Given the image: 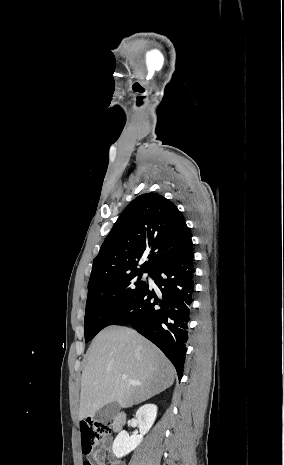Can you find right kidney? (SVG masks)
<instances>
[{"label": "right kidney", "instance_id": "1", "mask_svg": "<svg viewBox=\"0 0 284 465\" xmlns=\"http://www.w3.org/2000/svg\"><path fill=\"white\" fill-rule=\"evenodd\" d=\"M157 415V407L156 405H143L140 407L136 413L137 423L139 425L140 435H131L129 437L127 431H121L119 435H117L112 451L115 457H125L131 451H134L138 445H140L144 435L150 431Z\"/></svg>", "mask_w": 284, "mask_h": 465}]
</instances>
